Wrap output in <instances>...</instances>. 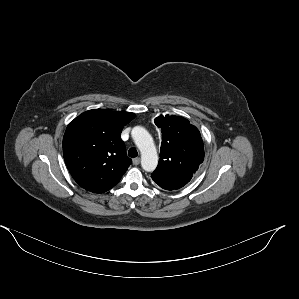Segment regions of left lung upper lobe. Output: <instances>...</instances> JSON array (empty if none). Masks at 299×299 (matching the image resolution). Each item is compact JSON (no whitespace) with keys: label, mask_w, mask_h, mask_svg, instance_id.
Instances as JSON below:
<instances>
[{"label":"left lung upper lobe","mask_w":299,"mask_h":299,"mask_svg":"<svg viewBox=\"0 0 299 299\" xmlns=\"http://www.w3.org/2000/svg\"><path fill=\"white\" fill-rule=\"evenodd\" d=\"M162 129L160 159L153 175L193 176L204 160L203 141L199 130L181 116L156 118Z\"/></svg>","instance_id":"left-lung-upper-lobe-1"}]
</instances>
